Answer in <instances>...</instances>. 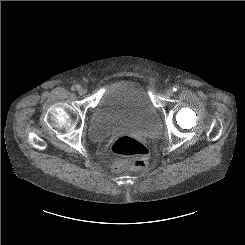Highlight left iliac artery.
Wrapping results in <instances>:
<instances>
[{
  "label": "left iliac artery",
  "mask_w": 245,
  "mask_h": 245,
  "mask_svg": "<svg viewBox=\"0 0 245 245\" xmlns=\"http://www.w3.org/2000/svg\"><path fill=\"white\" fill-rule=\"evenodd\" d=\"M172 90H173L174 92H177V91L179 90V86L174 85L173 88H172Z\"/></svg>",
  "instance_id": "44dca946"
}]
</instances>
